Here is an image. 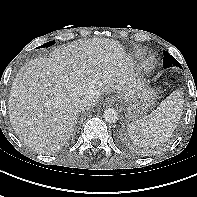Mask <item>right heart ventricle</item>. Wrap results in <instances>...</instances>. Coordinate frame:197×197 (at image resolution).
Segmentation results:
<instances>
[{"instance_id": "e07e8e85", "label": "right heart ventricle", "mask_w": 197, "mask_h": 197, "mask_svg": "<svg viewBox=\"0 0 197 197\" xmlns=\"http://www.w3.org/2000/svg\"><path fill=\"white\" fill-rule=\"evenodd\" d=\"M137 57H142L144 55V51L142 50H138L136 51V54H135Z\"/></svg>"}]
</instances>
